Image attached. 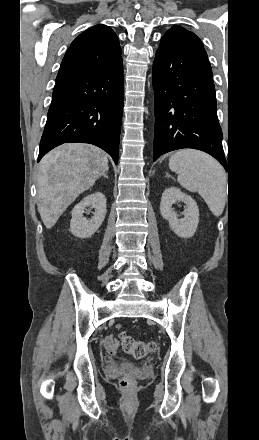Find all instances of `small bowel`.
<instances>
[{
	"instance_id": "obj_1",
	"label": "small bowel",
	"mask_w": 259,
	"mask_h": 440,
	"mask_svg": "<svg viewBox=\"0 0 259 440\" xmlns=\"http://www.w3.org/2000/svg\"><path fill=\"white\" fill-rule=\"evenodd\" d=\"M103 344L109 353H115L117 351L118 341L113 335L106 336Z\"/></svg>"
}]
</instances>
